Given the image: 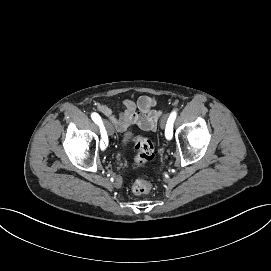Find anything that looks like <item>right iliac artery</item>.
Masks as SVG:
<instances>
[{"label": "right iliac artery", "mask_w": 271, "mask_h": 271, "mask_svg": "<svg viewBox=\"0 0 271 271\" xmlns=\"http://www.w3.org/2000/svg\"><path fill=\"white\" fill-rule=\"evenodd\" d=\"M91 117H92V120L98 124L100 126V132H101V136L103 138H105L104 140V150H110L111 149V146L109 145V140L106 139L107 138V133H106V130L103 126V123H102V120H101V117L99 116V114L97 113H92L91 114Z\"/></svg>", "instance_id": "82829eb1"}]
</instances>
